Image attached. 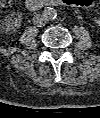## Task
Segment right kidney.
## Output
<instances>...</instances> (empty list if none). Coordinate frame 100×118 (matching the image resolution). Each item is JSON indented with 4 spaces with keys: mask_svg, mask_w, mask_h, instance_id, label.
Listing matches in <instances>:
<instances>
[{
    "mask_svg": "<svg viewBox=\"0 0 100 118\" xmlns=\"http://www.w3.org/2000/svg\"><path fill=\"white\" fill-rule=\"evenodd\" d=\"M7 31H11V30H14V27H13V24L12 23H8V26H7Z\"/></svg>",
    "mask_w": 100,
    "mask_h": 118,
    "instance_id": "ca27d5eb",
    "label": "right kidney"
}]
</instances>
